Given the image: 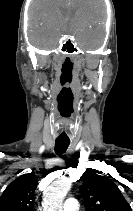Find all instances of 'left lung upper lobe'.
<instances>
[{
    "label": "left lung upper lobe",
    "mask_w": 133,
    "mask_h": 211,
    "mask_svg": "<svg viewBox=\"0 0 133 211\" xmlns=\"http://www.w3.org/2000/svg\"><path fill=\"white\" fill-rule=\"evenodd\" d=\"M88 168L82 175L84 183L80 192L87 211H131L117 185ZM99 173V172H98Z\"/></svg>",
    "instance_id": "1"
}]
</instances>
